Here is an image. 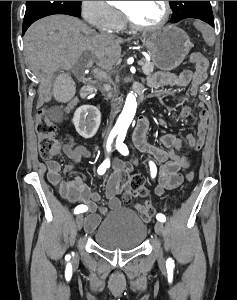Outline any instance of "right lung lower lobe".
<instances>
[{"instance_id": "98d812e1", "label": "right lung lower lobe", "mask_w": 237, "mask_h": 300, "mask_svg": "<svg viewBox=\"0 0 237 300\" xmlns=\"http://www.w3.org/2000/svg\"><path fill=\"white\" fill-rule=\"evenodd\" d=\"M66 15L75 16L74 14H66ZM32 23H33V22H32ZM32 23H23V34L25 33V31L28 29V27H29Z\"/></svg>"}]
</instances>
